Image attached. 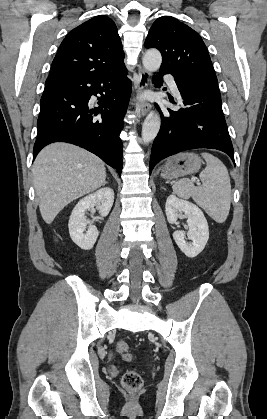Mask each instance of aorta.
<instances>
[{"label":"aorta","instance_id":"1","mask_svg":"<svg viewBox=\"0 0 267 419\" xmlns=\"http://www.w3.org/2000/svg\"><path fill=\"white\" fill-rule=\"evenodd\" d=\"M162 62L161 54L156 49L146 51L143 57V66L149 72L157 71ZM161 125V119L158 113L151 111L142 126V139L145 144L150 143L157 136Z\"/></svg>","mask_w":267,"mask_h":419}]
</instances>
